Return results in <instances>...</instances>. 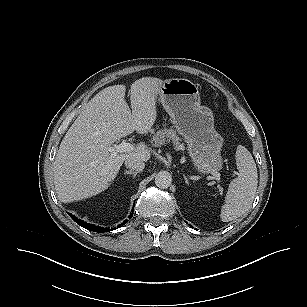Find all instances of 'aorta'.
<instances>
[{
  "label": "aorta",
  "mask_w": 307,
  "mask_h": 307,
  "mask_svg": "<svg viewBox=\"0 0 307 307\" xmlns=\"http://www.w3.org/2000/svg\"><path fill=\"white\" fill-rule=\"evenodd\" d=\"M172 176L168 171H160L155 177V184L160 188H168L171 185Z\"/></svg>",
  "instance_id": "762f6f07"
}]
</instances>
